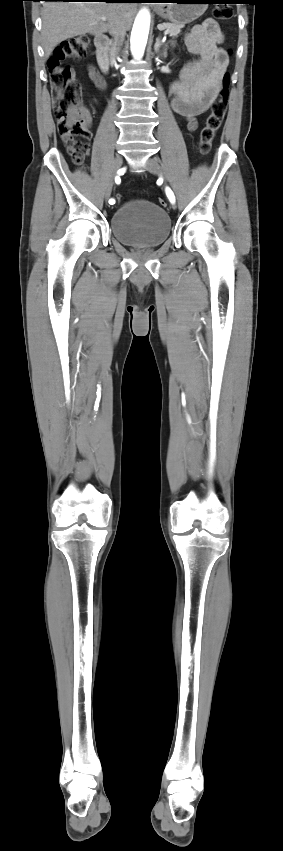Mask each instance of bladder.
Returning a JSON list of instances; mask_svg holds the SVG:
<instances>
[{
  "mask_svg": "<svg viewBox=\"0 0 283 851\" xmlns=\"http://www.w3.org/2000/svg\"><path fill=\"white\" fill-rule=\"evenodd\" d=\"M110 228L121 243L149 248L163 243L169 236L171 220L157 204L143 199L128 201L111 215Z\"/></svg>",
  "mask_w": 283,
  "mask_h": 851,
  "instance_id": "bladder-1",
  "label": "bladder"
}]
</instances>
